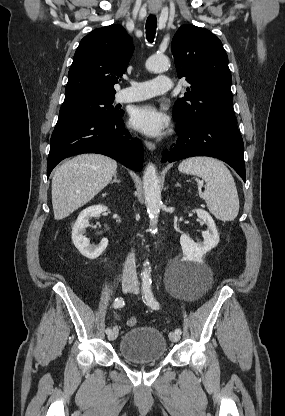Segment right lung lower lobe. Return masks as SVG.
Wrapping results in <instances>:
<instances>
[{
	"label": "right lung lower lobe",
	"mask_w": 285,
	"mask_h": 416,
	"mask_svg": "<svg viewBox=\"0 0 285 416\" xmlns=\"http://www.w3.org/2000/svg\"><path fill=\"white\" fill-rule=\"evenodd\" d=\"M82 153L103 154L142 170V144L125 129L122 117L58 120L50 140L47 177L60 161Z\"/></svg>",
	"instance_id": "obj_1"
}]
</instances>
